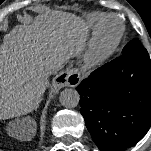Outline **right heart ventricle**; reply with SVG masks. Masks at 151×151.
Instances as JSON below:
<instances>
[{"label": "right heart ventricle", "mask_w": 151, "mask_h": 151, "mask_svg": "<svg viewBox=\"0 0 151 151\" xmlns=\"http://www.w3.org/2000/svg\"><path fill=\"white\" fill-rule=\"evenodd\" d=\"M106 16V14L101 12H94L88 16V24L91 28H96L100 21Z\"/></svg>", "instance_id": "e07e8e85"}]
</instances>
